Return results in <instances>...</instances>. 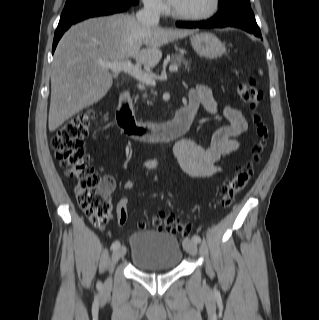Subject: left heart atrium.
<instances>
[{
	"label": "left heart atrium",
	"mask_w": 319,
	"mask_h": 320,
	"mask_svg": "<svg viewBox=\"0 0 319 320\" xmlns=\"http://www.w3.org/2000/svg\"><path fill=\"white\" fill-rule=\"evenodd\" d=\"M178 1L179 0H168L169 4L173 7L177 5Z\"/></svg>",
	"instance_id": "39dd6f15"
}]
</instances>
